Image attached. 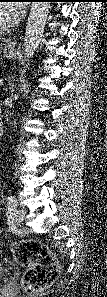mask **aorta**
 Listing matches in <instances>:
<instances>
[{"instance_id": "obj_1", "label": "aorta", "mask_w": 107, "mask_h": 297, "mask_svg": "<svg viewBox=\"0 0 107 297\" xmlns=\"http://www.w3.org/2000/svg\"><path fill=\"white\" fill-rule=\"evenodd\" d=\"M49 7V2H33L31 5L25 30L23 48L25 59L28 65L41 42Z\"/></svg>"}]
</instances>
